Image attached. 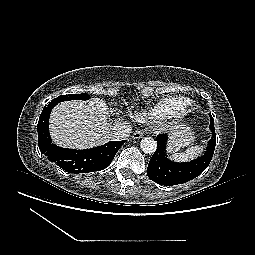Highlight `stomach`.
<instances>
[{"label":"stomach","mask_w":255,"mask_h":255,"mask_svg":"<svg viewBox=\"0 0 255 255\" xmlns=\"http://www.w3.org/2000/svg\"><path fill=\"white\" fill-rule=\"evenodd\" d=\"M194 133L186 124L173 126L169 132L168 150L171 153L179 151L194 142Z\"/></svg>","instance_id":"stomach-1"}]
</instances>
